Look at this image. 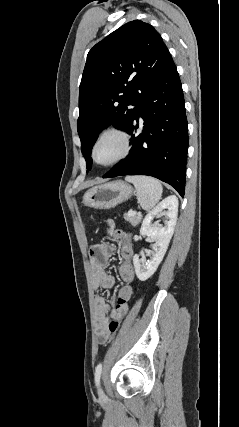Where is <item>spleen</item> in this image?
Segmentation results:
<instances>
[{
  "label": "spleen",
  "mask_w": 239,
  "mask_h": 427,
  "mask_svg": "<svg viewBox=\"0 0 239 427\" xmlns=\"http://www.w3.org/2000/svg\"><path fill=\"white\" fill-rule=\"evenodd\" d=\"M136 189L138 203L144 210L152 209L161 199L163 188L161 183L149 176H127Z\"/></svg>",
  "instance_id": "spleen-1"
}]
</instances>
